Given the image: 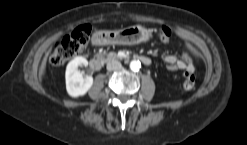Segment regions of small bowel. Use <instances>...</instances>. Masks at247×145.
Returning a JSON list of instances; mask_svg holds the SVG:
<instances>
[{"label":"small bowel","mask_w":247,"mask_h":145,"mask_svg":"<svg viewBox=\"0 0 247 145\" xmlns=\"http://www.w3.org/2000/svg\"><path fill=\"white\" fill-rule=\"evenodd\" d=\"M194 59V50L189 45H186V50L180 57L173 54L162 55V60L169 70H183L185 73H192L195 70Z\"/></svg>","instance_id":"small-bowel-1"}]
</instances>
